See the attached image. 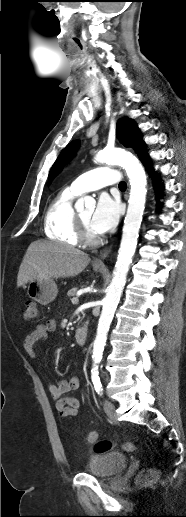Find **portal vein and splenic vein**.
<instances>
[{"label":"portal vein and splenic vein","instance_id":"obj_1","mask_svg":"<svg viewBox=\"0 0 186 517\" xmlns=\"http://www.w3.org/2000/svg\"><path fill=\"white\" fill-rule=\"evenodd\" d=\"M71 302L73 304H78L79 300H78V298H72Z\"/></svg>","mask_w":186,"mask_h":517}]
</instances>
